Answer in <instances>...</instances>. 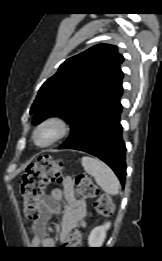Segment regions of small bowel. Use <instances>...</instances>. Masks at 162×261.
Here are the masks:
<instances>
[{
	"instance_id": "c3829d8e",
	"label": "small bowel",
	"mask_w": 162,
	"mask_h": 261,
	"mask_svg": "<svg viewBox=\"0 0 162 261\" xmlns=\"http://www.w3.org/2000/svg\"><path fill=\"white\" fill-rule=\"evenodd\" d=\"M66 202L61 211L60 203ZM61 214L60 238L65 240L79 227L80 221L86 215V204L74 196V185L70 177L64 178L62 188H55L51 195L46 197L42 203L40 216L33 225V243L44 248H54L56 242L53 238L46 236V227L53 215Z\"/></svg>"
}]
</instances>
